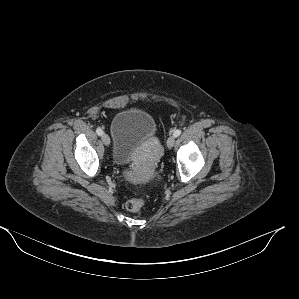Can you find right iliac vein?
<instances>
[{
	"label": "right iliac vein",
	"instance_id": "obj_1",
	"mask_svg": "<svg viewBox=\"0 0 299 299\" xmlns=\"http://www.w3.org/2000/svg\"><path fill=\"white\" fill-rule=\"evenodd\" d=\"M101 139L106 146L110 145V138L107 134H102Z\"/></svg>",
	"mask_w": 299,
	"mask_h": 299
}]
</instances>
